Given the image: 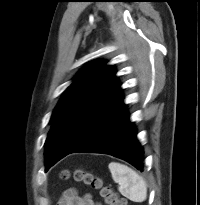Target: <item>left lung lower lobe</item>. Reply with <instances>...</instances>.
Here are the masks:
<instances>
[{"label":"left lung lower lobe","instance_id":"left-lung-lower-lobe-1","mask_svg":"<svg viewBox=\"0 0 200 205\" xmlns=\"http://www.w3.org/2000/svg\"><path fill=\"white\" fill-rule=\"evenodd\" d=\"M74 152L109 154L129 162L138 170L143 169V149L137 141L136 128L129 121L122 91L68 154Z\"/></svg>","mask_w":200,"mask_h":205}]
</instances>
